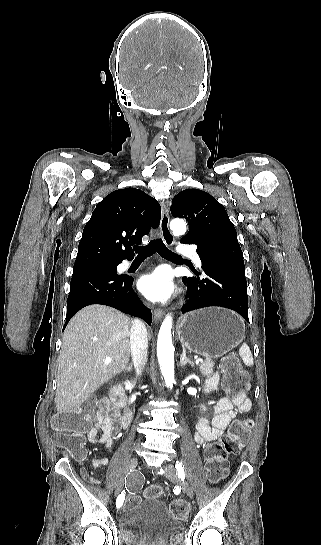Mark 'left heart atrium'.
I'll return each mask as SVG.
<instances>
[{
  "label": "left heart atrium",
  "mask_w": 321,
  "mask_h": 545,
  "mask_svg": "<svg viewBox=\"0 0 321 545\" xmlns=\"http://www.w3.org/2000/svg\"><path fill=\"white\" fill-rule=\"evenodd\" d=\"M138 288L146 297L155 301H165L175 292L171 273L164 268L142 276Z\"/></svg>",
  "instance_id": "left-heart-atrium-1"
}]
</instances>
